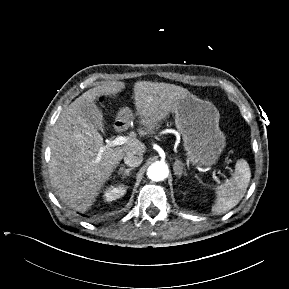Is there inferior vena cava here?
<instances>
[{
    "mask_svg": "<svg viewBox=\"0 0 289 289\" xmlns=\"http://www.w3.org/2000/svg\"><path fill=\"white\" fill-rule=\"evenodd\" d=\"M143 161V154L141 152H128L124 156V162L130 167H137Z\"/></svg>",
    "mask_w": 289,
    "mask_h": 289,
    "instance_id": "1",
    "label": "inferior vena cava"
}]
</instances>
